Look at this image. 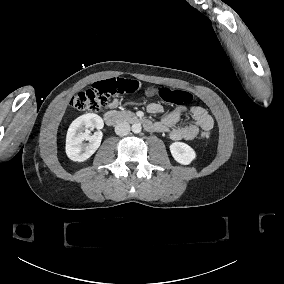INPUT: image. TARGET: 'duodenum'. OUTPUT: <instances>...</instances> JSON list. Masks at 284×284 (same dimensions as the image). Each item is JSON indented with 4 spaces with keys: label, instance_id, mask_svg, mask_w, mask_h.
<instances>
[{
    "label": "duodenum",
    "instance_id": "1",
    "mask_svg": "<svg viewBox=\"0 0 284 284\" xmlns=\"http://www.w3.org/2000/svg\"><path fill=\"white\" fill-rule=\"evenodd\" d=\"M103 119L108 125L115 126L123 122L142 125L144 128L149 129L151 124L148 120L132 114H121L116 111H106L103 114Z\"/></svg>",
    "mask_w": 284,
    "mask_h": 284
}]
</instances>
